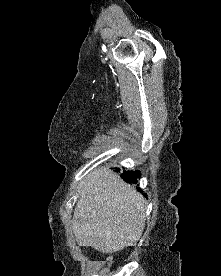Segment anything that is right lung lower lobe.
<instances>
[{
	"mask_svg": "<svg viewBox=\"0 0 221 276\" xmlns=\"http://www.w3.org/2000/svg\"><path fill=\"white\" fill-rule=\"evenodd\" d=\"M117 171H119V169L117 170ZM140 172L138 171V170H135V171H125V172H123L122 174H121V177H122V179L125 181V182H127V183H129V184H137V182H138V178L140 177ZM138 190L140 191V192H142L139 188H138ZM144 195L146 196V194L144 193Z\"/></svg>",
	"mask_w": 221,
	"mask_h": 276,
	"instance_id": "98d812e1",
	"label": "right lung lower lobe"
}]
</instances>
